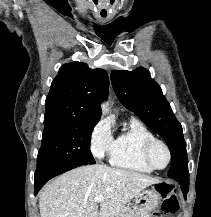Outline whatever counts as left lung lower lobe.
<instances>
[{
    "instance_id": "left-lung-lower-lobe-1",
    "label": "left lung lower lobe",
    "mask_w": 211,
    "mask_h": 217,
    "mask_svg": "<svg viewBox=\"0 0 211 217\" xmlns=\"http://www.w3.org/2000/svg\"><path fill=\"white\" fill-rule=\"evenodd\" d=\"M175 181H177L181 185V189H182V192L184 194V198H186V195L188 193L189 180L177 179Z\"/></svg>"
}]
</instances>
